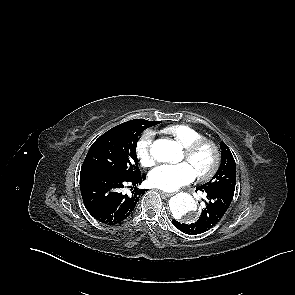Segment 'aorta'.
Wrapping results in <instances>:
<instances>
[{
	"label": "aorta",
	"instance_id": "aorta-1",
	"mask_svg": "<svg viewBox=\"0 0 295 295\" xmlns=\"http://www.w3.org/2000/svg\"><path fill=\"white\" fill-rule=\"evenodd\" d=\"M151 154L159 162H177L180 159L181 147L174 140L160 139L152 145ZM169 208L175 219L183 221L194 218L197 205L190 194L178 193L169 200Z\"/></svg>",
	"mask_w": 295,
	"mask_h": 295
}]
</instances>
